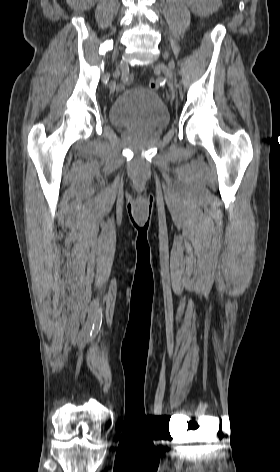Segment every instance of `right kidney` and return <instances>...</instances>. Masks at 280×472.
Returning a JSON list of instances; mask_svg holds the SVG:
<instances>
[{
  "label": "right kidney",
  "mask_w": 280,
  "mask_h": 472,
  "mask_svg": "<svg viewBox=\"0 0 280 472\" xmlns=\"http://www.w3.org/2000/svg\"><path fill=\"white\" fill-rule=\"evenodd\" d=\"M98 0H80V4L83 8L89 9L92 7Z\"/></svg>",
  "instance_id": "right-kidney-1"
}]
</instances>
